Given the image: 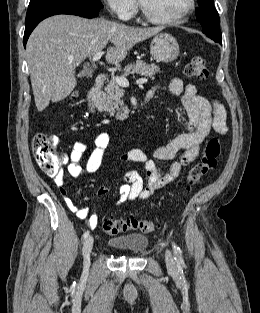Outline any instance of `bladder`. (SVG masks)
<instances>
[{
	"mask_svg": "<svg viewBox=\"0 0 260 313\" xmlns=\"http://www.w3.org/2000/svg\"><path fill=\"white\" fill-rule=\"evenodd\" d=\"M107 243L111 248L129 251L133 254H139L147 246L148 238L140 234H127L111 238Z\"/></svg>",
	"mask_w": 260,
	"mask_h": 313,
	"instance_id": "31cf9c89",
	"label": "bladder"
}]
</instances>
